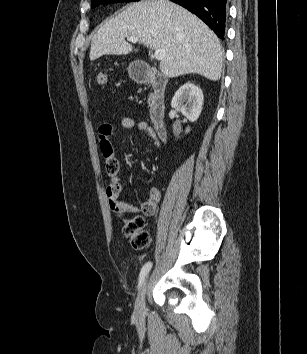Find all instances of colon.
Returning <instances> with one entry per match:
<instances>
[{"label":"colon","instance_id":"colon-1","mask_svg":"<svg viewBox=\"0 0 307 354\" xmlns=\"http://www.w3.org/2000/svg\"><path fill=\"white\" fill-rule=\"evenodd\" d=\"M95 81L100 86H105L108 82V72L100 69L95 72ZM115 210L121 219L122 231L128 242L135 250H143L148 247L150 237L145 230V220L142 216L126 217L127 209L117 206Z\"/></svg>","mask_w":307,"mask_h":354}]
</instances>
